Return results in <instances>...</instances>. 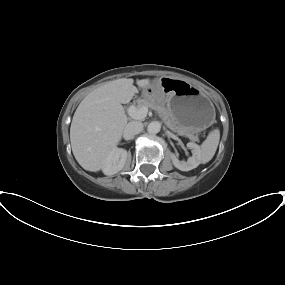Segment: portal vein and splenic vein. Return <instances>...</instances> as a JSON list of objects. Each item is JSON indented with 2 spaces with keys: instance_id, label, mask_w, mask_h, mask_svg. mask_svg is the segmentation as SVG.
<instances>
[{
  "instance_id": "obj_1",
  "label": "portal vein and splenic vein",
  "mask_w": 285,
  "mask_h": 285,
  "mask_svg": "<svg viewBox=\"0 0 285 285\" xmlns=\"http://www.w3.org/2000/svg\"><path fill=\"white\" fill-rule=\"evenodd\" d=\"M147 113L148 108L146 106H143L138 109L137 107L132 105L128 108V114L133 119L143 120L147 116Z\"/></svg>"
}]
</instances>
